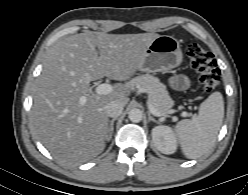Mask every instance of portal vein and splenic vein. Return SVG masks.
Instances as JSON below:
<instances>
[{
	"label": "portal vein and splenic vein",
	"instance_id": "1",
	"mask_svg": "<svg viewBox=\"0 0 248 195\" xmlns=\"http://www.w3.org/2000/svg\"><path fill=\"white\" fill-rule=\"evenodd\" d=\"M112 91H113V86L110 84H106V83L100 84L95 88V93L99 95H106V94L111 93ZM85 101H86V97L85 96L81 97L80 102L83 104L85 103ZM148 108H149V111L155 116H158V117L161 116V114L154 109V107L152 106L150 102H148ZM181 116L187 117L189 116V114L187 112H182Z\"/></svg>",
	"mask_w": 248,
	"mask_h": 195
}]
</instances>
